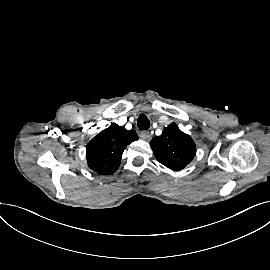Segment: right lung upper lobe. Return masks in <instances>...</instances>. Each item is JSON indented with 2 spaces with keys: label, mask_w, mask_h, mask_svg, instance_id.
Segmentation results:
<instances>
[{
  "label": "right lung upper lobe",
  "mask_w": 270,
  "mask_h": 270,
  "mask_svg": "<svg viewBox=\"0 0 270 270\" xmlns=\"http://www.w3.org/2000/svg\"><path fill=\"white\" fill-rule=\"evenodd\" d=\"M137 139L134 130L112 123L88 143L86 157L89 168L100 175L114 173L119 168L126 146Z\"/></svg>",
  "instance_id": "1"
}]
</instances>
